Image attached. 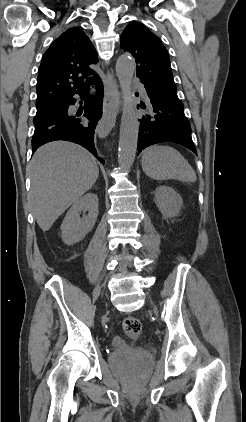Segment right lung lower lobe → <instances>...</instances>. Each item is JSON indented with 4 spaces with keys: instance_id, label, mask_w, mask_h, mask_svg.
Listing matches in <instances>:
<instances>
[{
    "instance_id": "right-lung-lower-lobe-1",
    "label": "right lung lower lobe",
    "mask_w": 246,
    "mask_h": 422,
    "mask_svg": "<svg viewBox=\"0 0 246 422\" xmlns=\"http://www.w3.org/2000/svg\"><path fill=\"white\" fill-rule=\"evenodd\" d=\"M98 89L95 96H89L82 112L72 115L68 108L75 104L73 96L68 97L53 105V114L33 121L35 124L34 136L32 138V153L45 143L55 140H67L89 150L100 162L105 163L96 154L94 146V133L97 122L102 116L103 85L97 76L90 85ZM88 87L77 94L83 96ZM86 117L89 122L84 123L79 116Z\"/></svg>"
}]
</instances>
